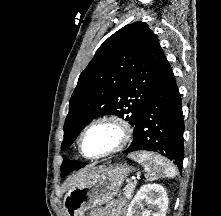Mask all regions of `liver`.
I'll use <instances>...</instances> for the list:
<instances>
[{
    "label": "liver",
    "instance_id": "liver-1",
    "mask_svg": "<svg viewBox=\"0 0 221 216\" xmlns=\"http://www.w3.org/2000/svg\"><path fill=\"white\" fill-rule=\"evenodd\" d=\"M95 167L89 166L85 169L80 170L76 175L72 176L66 183V187L74 186L84 179Z\"/></svg>",
    "mask_w": 221,
    "mask_h": 216
}]
</instances>
